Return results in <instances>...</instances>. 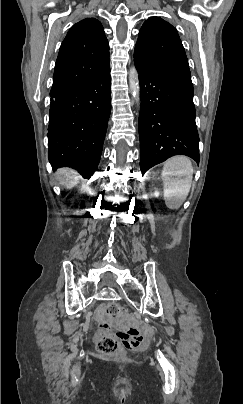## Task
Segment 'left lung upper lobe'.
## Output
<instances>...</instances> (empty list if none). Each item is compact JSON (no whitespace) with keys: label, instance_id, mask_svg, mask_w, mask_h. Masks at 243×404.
Here are the masks:
<instances>
[{"label":"left lung upper lobe","instance_id":"1","mask_svg":"<svg viewBox=\"0 0 243 404\" xmlns=\"http://www.w3.org/2000/svg\"><path fill=\"white\" fill-rule=\"evenodd\" d=\"M134 60L167 74L191 76L177 30L159 17L144 22L135 46Z\"/></svg>","mask_w":243,"mask_h":404}]
</instances>
